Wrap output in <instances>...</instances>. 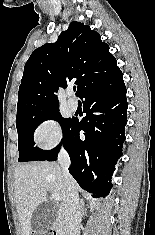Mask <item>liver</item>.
Returning <instances> with one entry per match:
<instances>
[{
	"label": "liver",
	"mask_w": 155,
	"mask_h": 235,
	"mask_svg": "<svg viewBox=\"0 0 155 235\" xmlns=\"http://www.w3.org/2000/svg\"><path fill=\"white\" fill-rule=\"evenodd\" d=\"M16 208L22 235H30L35 209L47 201L48 192L58 194L61 204L58 217L66 216V189L62 169L57 163L35 162L17 165L14 172ZM77 192L81 189L75 182Z\"/></svg>",
	"instance_id": "6515ba94"
}]
</instances>
